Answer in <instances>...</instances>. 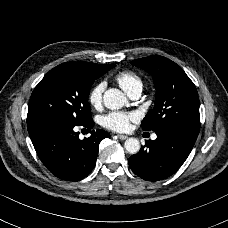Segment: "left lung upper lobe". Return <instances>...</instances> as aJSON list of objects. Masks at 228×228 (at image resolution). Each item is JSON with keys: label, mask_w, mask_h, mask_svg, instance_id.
I'll use <instances>...</instances> for the list:
<instances>
[{"label": "left lung upper lobe", "mask_w": 228, "mask_h": 228, "mask_svg": "<svg viewBox=\"0 0 228 228\" xmlns=\"http://www.w3.org/2000/svg\"><path fill=\"white\" fill-rule=\"evenodd\" d=\"M132 64L151 74L156 88L155 106L143 119V130H177L198 136V93L183 69L159 55L136 59Z\"/></svg>", "instance_id": "5c2ea615"}]
</instances>
